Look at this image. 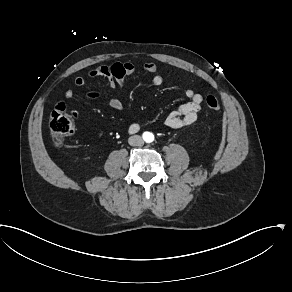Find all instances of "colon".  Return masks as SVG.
<instances>
[{
	"mask_svg": "<svg viewBox=\"0 0 292 292\" xmlns=\"http://www.w3.org/2000/svg\"><path fill=\"white\" fill-rule=\"evenodd\" d=\"M205 107L210 111H218L220 108L219 100L215 96H207ZM76 112L68 108L63 103H57L51 112L50 131L53 146L61 148L73 131V123Z\"/></svg>",
	"mask_w": 292,
	"mask_h": 292,
	"instance_id": "5ec220e1",
	"label": "colon"
}]
</instances>
